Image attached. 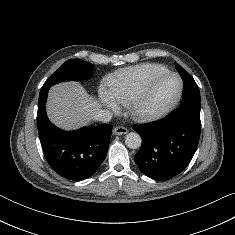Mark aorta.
I'll return each mask as SVG.
<instances>
[{
	"label": "aorta",
	"instance_id": "1",
	"mask_svg": "<svg viewBox=\"0 0 235 235\" xmlns=\"http://www.w3.org/2000/svg\"><path fill=\"white\" fill-rule=\"evenodd\" d=\"M142 140L138 133L130 132L125 136V144L130 149H137L141 146Z\"/></svg>",
	"mask_w": 235,
	"mask_h": 235
}]
</instances>
